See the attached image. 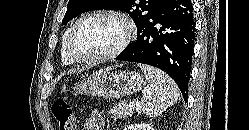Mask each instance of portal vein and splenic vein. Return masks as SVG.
Masks as SVG:
<instances>
[{"instance_id": "portal-vein-and-splenic-vein-1", "label": "portal vein and splenic vein", "mask_w": 249, "mask_h": 130, "mask_svg": "<svg viewBox=\"0 0 249 130\" xmlns=\"http://www.w3.org/2000/svg\"><path fill=\"white\" fill-rule=\"evenodd\" d=\"M129 107L130 108H134L135 107V103L134 102H129Z\"/></svg>"}]
</instances>
